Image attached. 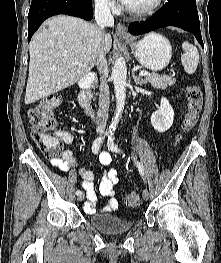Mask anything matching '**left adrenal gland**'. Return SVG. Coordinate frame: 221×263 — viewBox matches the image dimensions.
I'll return each instance as SVG.
<instances>
[{"instance_id": "a2214340", "label": "left adrenal gland", "mask_w": 221, "mask_h": 263, "mask_svg": "<svg viewBox=\"0 0 221 263\" xmlns=\"http://www.w3.org/2000/svg\"><path fill=\"white\" fill-rule=\"evenodd\" d=\"M132 77L137 85H145L146 81L141 78L140 76H137L134 72H132Z\"/></svg>"}]
</instances>
